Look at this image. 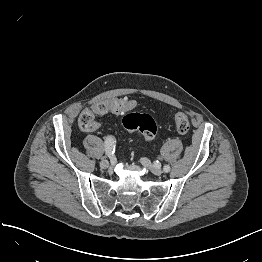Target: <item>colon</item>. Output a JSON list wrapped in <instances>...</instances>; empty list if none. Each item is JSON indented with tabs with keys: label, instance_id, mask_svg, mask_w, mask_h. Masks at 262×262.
<instances>
[{
	"label": "colon",
	"instance_id": "1",
	"mask_svg": "<svg viewBox=\"0 0 262 262\" xmlns=\"http://www.w3.org/2000/svg\"><path fill=\"white\" fill-rule=\"evenodd\" d=\"M136 106L135 101L127 99H115L111 101L99 102L91 109L84 110L79 117L80 127L85 131H91L99 126L96 115L104 113L126 114L122 119V125L129 131H139L146 141H152L157 134V127L153 118L148 114L130 112ZM178 133L186 134L190 124L186 114L176 112L174 115Z\"/></svg>",
	"mask_w": 262,
	"mask_h": 262
}]
</instances>
